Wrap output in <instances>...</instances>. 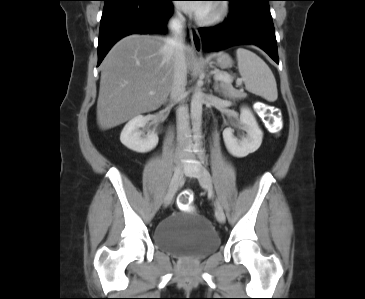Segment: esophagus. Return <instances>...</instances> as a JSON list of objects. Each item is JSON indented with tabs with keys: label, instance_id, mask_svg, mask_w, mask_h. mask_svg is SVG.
Returning a JSON list of instances; mask_svg holds the SVG:
<instances>
[{
	"label": "esophagus",
	"instance_id": "1",
	"mask_svg": "<svg viewBox=\"0 0 365 299\" xmlns=\"http://www.w3.org/2000/svg\"><path fill=\"white\" fill-rule=\"evenodd\" d=\"M191 43L196 52L202 50V40L197 28L193 25L189 26Z\"/></svg>",
	"mask_w": 365,
	"mask_h": 299
}]
</instances>
